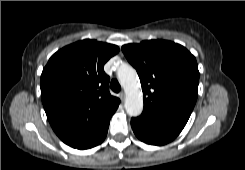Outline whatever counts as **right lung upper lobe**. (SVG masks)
I'll list each match as a JSON object with an SVG mask.
<instances>
[{"mask_svg": "<svg viewBox=\"0 0 245 170\" xmlns=\"http://www.w3.org/2000/svg\"><path fill=\"white\" fill-rule=\"evenodd\" d=\"M118 46L82 40L57 51L41 75V97L47 118L58 137L78 148L93 139L110 121L120 100L109 92L104 64Z\"/></svg>", "mask_w": 245, "mask_h": 170, "instance_id": "obj_1", "label": "right lung upper lobe"}]
</instances>
